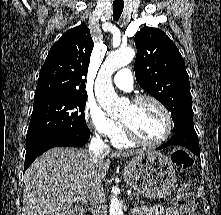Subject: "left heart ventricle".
I'll return each mask as SVG.
<instances>
[{"mask_svg":"<svg viewBox=\"0 0 221 215\" xmlns=\"http://www.w3.org/2000/svg\"><path fill=\"white\" fill-rule=\"evenodd\" d=\"M120 119L146 141L159 139L165 131V118L161 110L150 101L129 103L123 109Z\"/></svg>","mask_w":221,"mask_h":215,"instance_id":"1","label":"left heart ventricle"}]
</instances>
